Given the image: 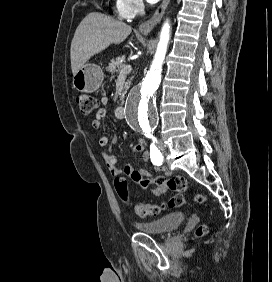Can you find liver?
Returning a JSON list of instances; mask_svg holds the SVG:
<instances>
[{
    "label": "liver",
    "mask_w": 272,
    "mask_h": 282,
    "mask_svg": "<svg viewBox=\"0 0 272 282\" xmlns=\"http://www.w3.org/2000/svg\"><path fill=\"white\" fill-rule=\"evenodd\" d=\"M130 25L99 12L89 13L78 25L71 42L73 75L95 54L111 44L122 43L131 33Z\"/></svg>",
    "instance_id": "liver-1"
}]
</instances>
